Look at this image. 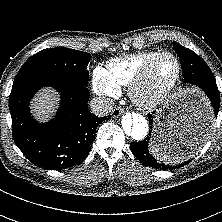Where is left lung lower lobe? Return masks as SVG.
Returning a JSON list of instances; mask_svg holds the SVG:
<instances>
[{
  "instance_id": "1",
  "label": "left lung lower lobe",
  "mask_w": 222,
  "mask_h": 222,
  "mask_svg": "<svg viewBox=\"0 0 222 222\" xmlns=\"http://www.w3.org/2000/svg\"><path fill=\"white\" fill-rule=\"evenodd\" d=\"M182 65V73L186 83L194 85L205 92L207 97L210 99L213 113L210 112L206 117H198L197 119L188 123L182 130H180L175 137L172 139V145L170 148L175 153H190L194 150L199 149L207 140L211 123L213 122V116L217 117L219 106H220V96L218 87L216 84L204 82L201 80L200 67L196 62L191 60H180ZM153 115L148 114L147 117L150 121L149 136L146 139L139 142H132L130 148L132 153L138 158L140 162L144 165L151 166L160 170H168L176 167H182L183 165L189 163V161L180 164L178 166H167L165 164H160L155 160L148 151V145L150 141V136L153 127Z\"/></svg>"
}]
</instances>
